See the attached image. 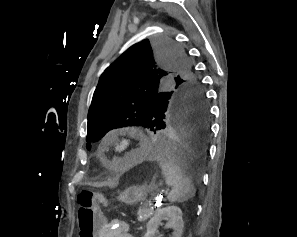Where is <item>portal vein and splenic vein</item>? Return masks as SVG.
<instances>
[{"mask_svg":"<svg viewBox=\"0 0 297 237\" xmlns=\"http://www.w3.org/2000/svg\"><path fill=\"white\" fill-rule=\"evenodd\" d=\"M149 207L153 208V203L152 202L149 203Z\"/></svg>","mask_w":297,"mask_h":237,"instance_id":"obj_1","label":"portal vein and splenic vein"}]
</instances>
